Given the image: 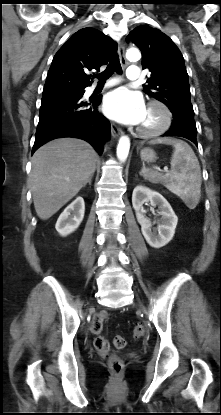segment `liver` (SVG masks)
<instances>
[{
    "label": "liver",
    "instance_id": "6515ba94",
    "mask_svg": "<svg viewBox=\"0 0 221 415\" xmlns=\"http://www.w3.org/2000/svg\"><path fill=\"white\" fill-rule=\"evenodd\" d=\"M97 159L91 145L75 138L55 139L34 153L31 192L40 219H49L76 196L95 172Z\"/></svg>",
    "mask_w": 221,
    "mask_h": 415
}]
</instances>
